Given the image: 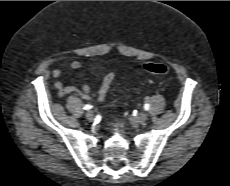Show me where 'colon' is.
Returning <instances> with one entry per match:
<instances>
[{
  "mask_svg": "<svg viewBox=\"0 0 230 186\" xmlns=\"http://www.w3.org/2000/svg\"><path fill=\"white\" fill-rule=\"evenodd\" d=\"M143 68L147 72L156 75H167L169 73L168 67L162 63L147 62L143 65ZM112 79L113 77L110 78V82H112Z\"/></svg>",
  "mask_w": 230,
  "mask_h": 186,
  "instance_id": "colon-1",
  "label": "colon"
}]
</instances>
